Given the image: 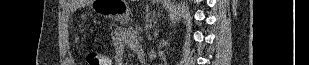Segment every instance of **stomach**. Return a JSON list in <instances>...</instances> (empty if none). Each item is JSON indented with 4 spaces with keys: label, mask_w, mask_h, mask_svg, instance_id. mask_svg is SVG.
<instances>
[{
    "label": "stomach",
    "mask_w": 309,
    "mask_h": 65,
    "mask_svg": "<svg viewBox=\"0 0 309 65\" xmlns=\"http://www.w3.org/2000/svg\"><path fill=\"white\" fill-rule=\"evenodd\" d=\"M93 8L100 15L115 20H121L128 11L126 0H96Z\"/></svg>",
    "instance_id": "0dacf381"
}]
</instances>
